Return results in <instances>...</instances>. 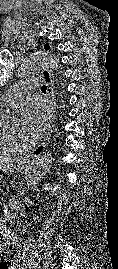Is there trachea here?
Segmentation results:
<instances>
[{
    "mask_svg": "<svg viewBox=\"0 0 118 269\" xmlns=\"http://www.w3.org/2000/svg\"><path fill=\"white\" fill-rule=\"evenodd\" d=\"M46 90H47V86L44 85V86L41 87V91H42L43 93H46Z\"/></svg>",
    "mask_w": 118,
    "mask_h": 269,
    "instance_id": "obj_1",
    "label": "trachea"
}]
</instances>
